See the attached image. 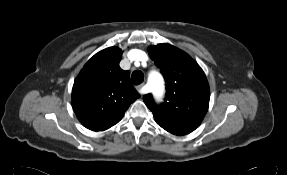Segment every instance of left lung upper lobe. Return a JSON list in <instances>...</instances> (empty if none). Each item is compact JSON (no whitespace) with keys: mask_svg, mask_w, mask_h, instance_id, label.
I'll return each mask as SVG.
<instances>
[{"mask_svg":"<svg viewBox=\"0 0 287 175\" xmlns=\"http://www.w3.org/2000/svg\"><path fill=\"white\" fill-rule=\"evenodd\" d=\"M148 51L165 78L167 93L162 105H156L151 94L144 96L145 104L166 131L178 136L191 133L201 124L209 106L205 73L187 53L170 44L150 46Z\"/></svg>","mask_w":287,"mask_h":175,"instance_id":"5c2ea615","label":"left lung upper lobe"}]
</instances>
